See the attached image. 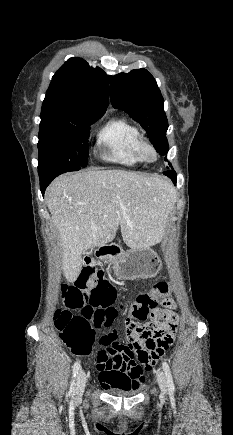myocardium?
Returning a JSON list of instances; mask_svg holds the SVG:
<instances>
[{
  "label": "myocardium",
  "instance_id": "f54148a6",
  "mask_svg": "<svg viewBox=\"0 0 233 435\" xmlns=\"http://www.w3.org/2000/svg\"><path fill=\"white\" fill-rule=\"evenodd\" d=\"M141 148L142 154L147 161L155 162L158 159V152L152 143L148 141H142Z\"/></svg>",
  "mask_w": 233,
  "mask_h": 435
}]
</instances>
